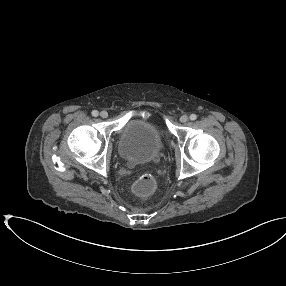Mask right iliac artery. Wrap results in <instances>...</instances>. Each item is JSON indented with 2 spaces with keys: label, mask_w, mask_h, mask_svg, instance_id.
Returning <instances> with one entry per match:
<instances>
[{
  "label": "right iliac artery",
  "mask_w": 286,
  "mask_h": 286,
  "mask_svg": "<svg viewBox=\"0 0 286 286\" xmlns=\"http://www.w3.org/2000/svg\"><path fill=\"white\" fill-rule=\"evenodd\" d=\"M92 116L97 117L98 116V111L97 110L92 111Z\"/></svg>",
  "instance_id": "82829eb1"
}]
</instances>
